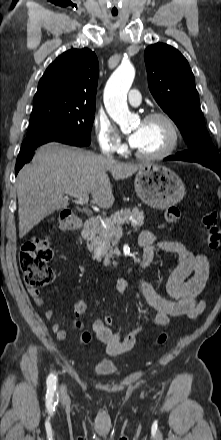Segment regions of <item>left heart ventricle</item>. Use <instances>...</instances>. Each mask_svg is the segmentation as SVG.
<instances>
[{"label":"left heart ventricle","instance_id":"obj_1","mask_svg":"<svg viewBox=\"0 0 221 440\" xmlns=\"http://www.w3.org/2000/svg\"><path fill=\"white\" fill-rule=\"evenodd\" d=\"M143 127V134L137 150L146 154H153L163 150L169 142V130L166 124L159 119L136 123L134 131Z\"/></svg>","mask_w":221,"mask_h":440}]
</instances>
